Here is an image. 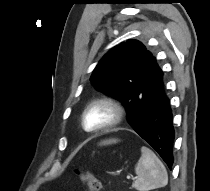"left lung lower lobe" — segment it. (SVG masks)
<instances>
[{
	"mask_svg": "<svg viewBox=\"0 0 210 191\" xmlns=\"http://www.w3.org/2000/svg\"><path fill=\"white\" fill-rule=\"evenodd\" d=\"M129 124L158 152L171 169L174 161L172 155L174 129L162 71L158 73L149 94L142 97L138 105L137 116Z\"/></svg>",
	"mask_w": 210,
	"mask_h": 191,
	"instance_id": "1",
	"label": "left lung lower lobe"
}]
</instances>
